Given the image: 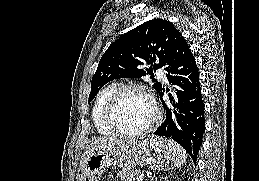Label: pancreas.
Returning a JSON list of instances; mask_svg holds the SVG:
<instances>
[{
  "mask_svg": "<svg viewBox=\"0 0 259 181\" xmlns=\"http://www.w3.org/2000/svg\"><path fill=\"white\" fill-rule=\"evenodd\" d=\"M139 174L140 170L125 169L120 171L117 175L122 181H135Z\"/></svg>",
  "mask_w": 259,
  "mask_h": 181,
  "instance_id": "cf45deb5",
  "label": "pancreas"
}]
</instances>
